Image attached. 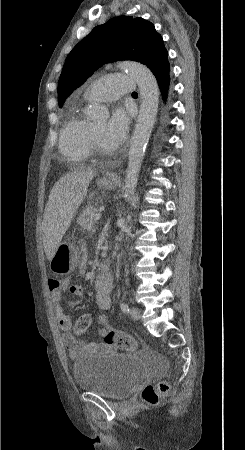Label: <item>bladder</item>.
Instances as JSON below:
<instances>
[{"label":"bladder","mask_w":245,"mask_h":450,"mask_svg":"<svg viewBox=\"0 0 245 450\" xmlns=\"http://www.w3.org/2000/svg\"><path fill=\"white\" fill-rule=\"evenodd\" d=\"M73 377L81 391L121 399L142 383L144 371L132 355L99 353L78 360Z\"/></svg>","instance_id":"1"}]
</instances>
